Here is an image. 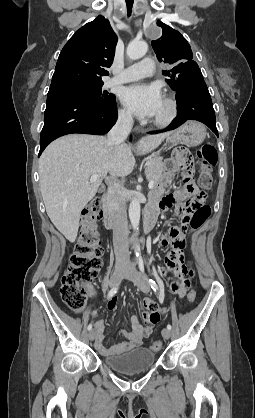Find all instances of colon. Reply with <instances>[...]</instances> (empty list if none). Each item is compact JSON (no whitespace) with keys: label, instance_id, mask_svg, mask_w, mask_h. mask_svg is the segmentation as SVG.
Wrapping results in <instances>:
<instances>
[{"label":"colon","instance_id":"5ec220e1","mask_svg":"<svg viewBox=\"0 0 255 418\" xmlns=\"http://www.w3.org/2000/svg\"><path fill=\"white\" fill-rule=\"evenodd\" d=\"M197 158L200 167L198 184L202 189H209L213 181L212 169L218 160L216 148L211 144L202 145L197 151ZM183 174L191 175L190 163L184 166ZM102 207V199L95 198L83 209L80 234L70 256L68 267L62 276L60 288L62 299L75 313H80L84 309L88 285L97 277L102 265L103 248L99 241L97 224L102 216ZM181 210L184 214L181 227L187 228L188 231L190 228L197 229L202 226L211 214L210 207L206 204V196L202 191H197ZM188 243H191V240H188ZM187 271L192 279L194 276L192 267L187 266ZM195 297V290L190 288L187 293L188 302L192 303ZM150 348L154 351L159 350L161 342L153 340Z\"/></svg>","mask_w":255,"mask_h":418}]
</instances>
